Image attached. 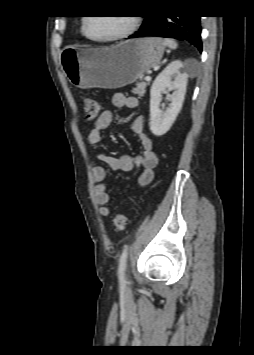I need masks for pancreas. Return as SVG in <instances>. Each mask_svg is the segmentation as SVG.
Returning a JSON list of instances; mask_svg holds the SVG:
<instances>
[{
  "instance_id": "1",
  "label": "pancreas",
  "mask_w": 254,
  "mask_h": 355,
  "mask_svg": "<svg viewBox=\"0 0 254 355\" xmlns=\"http://www.w3.org/2000/svg\"><path fill=\"white\" fill-rule=\"evenodd\" d=\"M149 85V82H138L136 84V88L132 90V92L139 97H142L146 92V87Z\"/></svg>"
}]
</instances>
